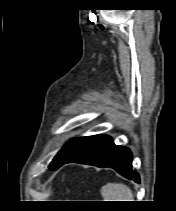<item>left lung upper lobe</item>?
<instances>
[{
    "instance_id": "left-lung-upper-lobe-1",
    "label": "left lung upper lobe",
    "mask_w": 176,
    "mask_h": 211,
    "mask_svg": "<svg viewBox=\"0 0 176 211\" xmlns=\"http://www.w3.org/2000/svg\"><path fill=\"white\" fill-rule=\"evenodd\" d=\"M92 138L93 136H87L68 142L54 157L49 168L52 170L58 169L63 162L78 153Z\"/></svg>"
}]
</instances>
